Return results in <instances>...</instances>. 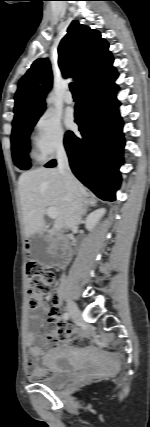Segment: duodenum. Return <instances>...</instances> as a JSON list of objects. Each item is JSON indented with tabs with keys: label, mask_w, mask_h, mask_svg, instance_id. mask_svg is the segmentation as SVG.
Returning a JSON list of instances; mask_svg holds the SVG:
<instances>
[{
	"label": "duodenum",
	"mask_w": 150,
	"mask_h": 427,
	"mask_svg": "<svg viewBox=\"0 0 150 427\" xmlns=\"http://www.w3.org/2000/svg\"><path fill=\"white\" fill-rule=\"evenodd\" d=\"M71 251L69 242L66 238H57V253L54 260V265L59 268H64L70 261Z\"/></svg>",
	"instance_id": "1"
}]
</instances>
